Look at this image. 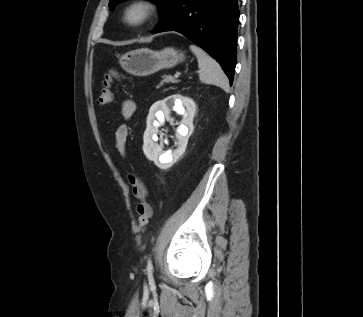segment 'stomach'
<instances>
[{
	"instance_id": "1",
	"label": "stomach",
	"mask_w": 363,
	"mask_h": 317,
	"mask_svg": "<svg viewBox=\"0 0 363 317\" xmlns=\"http://www.w3.org/2000/svg\"><path fill=\"white\" fill-rule=\"evenodd\" d=\"M184 54L167 47L160 51L141 48L129 51L119 59L121 67L135 76H148L161 69H168L183 62Z\"/></svg>"
}]
</instances>
